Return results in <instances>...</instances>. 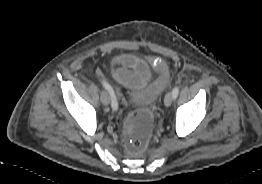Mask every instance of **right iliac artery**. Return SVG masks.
Masks as SVG:
<instances>
[{
  "mask_svg": "<svg viewBox=\"0 0 262 184\" xmlns=\"http://www.w3.org/2000/svg\"><path fill=\"white\" fill-rule=\"evenodd\" d=\"M102 85L109 92V94L111 96L112 109L117 110L118 109V103H117L116 96H115L113 88L105 80L102 81Z\"/></svg>",
  "mask_w": 262,
  "mask_h": 184,
  "instance_id": "1",
  "label": "right iliac artery"
}]
</instances>
